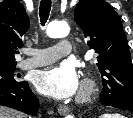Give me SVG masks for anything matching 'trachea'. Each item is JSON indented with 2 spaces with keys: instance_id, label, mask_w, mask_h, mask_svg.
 I'll return each instance as SVG.
<instances>
[{
  "instance_id": "trachea-1",
  "label": "trachea",
  "mask_w": 133,
  "mask_h": 118,
  "mask_svg": "<svg viewBox=\"0 0 133 118\" xmlns=\"http://www.w3.org/2000/svg\"><path fill=\"white\" fill-rule=\"evenodd\" d=\"M50 10H51V0H41L39 8V16L42 25H45V23L47 22Z\"/></svg>"
}]
</instances>
